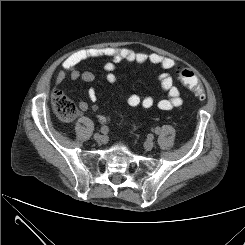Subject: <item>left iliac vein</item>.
Returning a JSON list of instances; mask_svg holds the SVG:
<instances>
[{
	"label": "left iliac vein",
	"mask_w": 245,
	"mask_h": 245,
	"mask_svg": "<svg viewBox=\"0 0 245 245\" xmlns=\"http://www.w3.org/2000/svg\"><path fill=\"white\" fill-rule=\"evenodd\" d=\"M144 147L146 150H151L154 147V142L152 139H147L144 143Z\"/></svg>",
	"instance_id": "obj_1"
}]
</instances>
